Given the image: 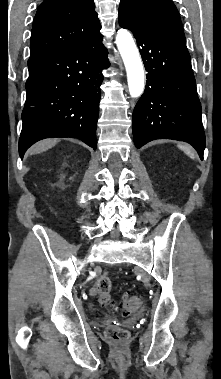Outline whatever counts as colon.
<instances>
[{"label":"colon","instance_id":"colon-1","mask_svg":"<svg viewBox=\"0 0 221 379\" xmlns=\"http://www.w3.org/2000/svg\"><path fill=\"white\" fill-rule=\"evenodd\" d=\"M98 289V302L102 306L112 304L110 299L111 280L109 276H102L97 284ZM143 301L140 295L127 294L117 304L113 306L123 315L128 316L130 313L136 311ZM105 336L108 340L113 342H123L128 338V332L115 325L109 326L105 331Z\"/></svg>","mask_w":221,"mask_h":379}]
</instances>
